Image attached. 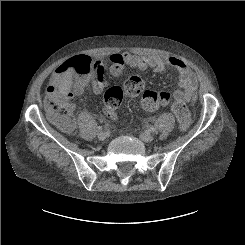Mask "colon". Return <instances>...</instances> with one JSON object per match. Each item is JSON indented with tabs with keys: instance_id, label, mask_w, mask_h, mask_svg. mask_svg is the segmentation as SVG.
Instances as JSON below:
<instances>
[{
	"instance_id": "5ec220e1",
	"label": "colon",
	"mask_w": 245,
	"mask_h": 245,
	"mask_svg": "<svg viewBox=\"0 0 245 245\" xmlns=\"http://www.w3.org/2000/svg\"><path fill=\"white\" fill-rule=\"evenodd\" d=\"M64 70L74 77L83 79L96 78L103 80L104 67L97 60L86 55H76L68 60ZM144 80L140 76H132L126 80L123 87H110L104 94V110L109 118H114L125 96L134 98L144 90ZM142 107L147 111L170 105L174 112L179 129L185 131L191 121L190 111L186 101L171 92L145 91L141 99ZM47 114L52 123L63 131L74 127L72 117V102L69 94L64 93L59 86H53L45 94Z\"/></svg>"
}]
</instances>
